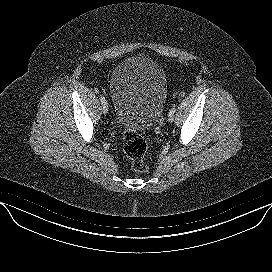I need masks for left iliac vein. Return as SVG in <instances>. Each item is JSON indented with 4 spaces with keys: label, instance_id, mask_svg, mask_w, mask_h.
I'll list each match as a JSON object with an SVG mask.
<instances>
[{
    "label": "left iliac vein",
    "instance_id": "obj_1",
    "mask_svg": "<svg viewBox=\"0 0 272 272\" xmlns=\"http://www.w3.org/2000/svg\"><path fill=\"white\" fill-rule=\"evenodd\" d=\"M168 120H169L170 122H172V121L174 120V114H173V113H170V112H169V114H168Z\"/></svg>",
    "mask_w": 272,
    "mask_h": 272
}]
</instances>
